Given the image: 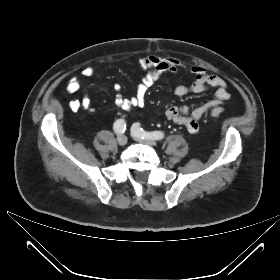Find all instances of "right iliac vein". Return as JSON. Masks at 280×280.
Here are the masks:
<instances>
[{"mask_svg":"<svg viewBox=\"0 0 280 280\" xmlns=\"http://www.w3.org/2000/svg\"><path fill=\"white\" fill-rule=\"evenodd\" d=\"M117 142L120 146H125L128 142V138L126 135H119L117 138Z\"/></svg>","mask_w":280,"mask_h":280,"instance_id":"obj_1","label":"right iliac vein"}]
</instances>
